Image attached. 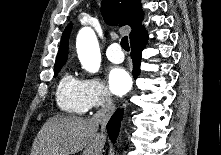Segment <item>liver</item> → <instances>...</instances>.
<instances>
[{"instance_id":"6515ba94","label":"liver","mask_w":221,"mask_h":155,"mask_svg":"<svg viewBox=\"0 0 221 155\" xmlns=\"http://www.w3.org/2000/svg\"><path fill=\"white\" fill-rule=\"evenodd\" d=\"M99 124L92 119L56 115L38 132L31 155H101L106 137L97 133Z\"/></svg>"}]
</instances>
